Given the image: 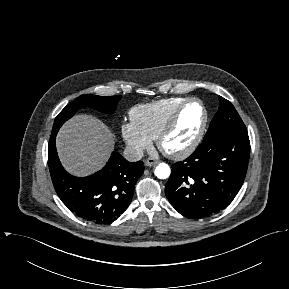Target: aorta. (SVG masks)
<instances>
[{"label":"aorta","mask_w":289,"mask_h":289,"mask_svg":"<svg viewBox=\"0 0 289 289\" xmlns=\"http://www.w3.org/2000/svg\"><path fill=\"white\" fill-rule=\"evenodd\" d=\"M155 176L159 179H166L170 176L171 170L170 167L168 166V164L166 163H160L155 171Z\"/></svg>","instance_id":"aorta-1"}]
</instances>
